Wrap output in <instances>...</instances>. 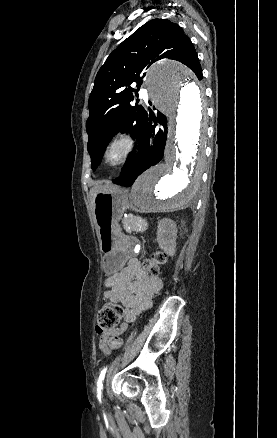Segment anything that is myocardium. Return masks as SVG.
Listing matches in <instances>:
<instances>
[{
    "label": "myocardium",
    "instance_id": "1",
    "mask_svg": "<svg viewBox=\"0 0 277 438\" xmlns=\"http://www.w3.org/2000/svg\"><path fill=\"white\" fill-rule=\"evenodd\" d=\"M117 147L121 148V153L118 157L112 159L111 155ZM135 149L136 139L130 133L119 134L105 148L103 152L104 162L112 168L122 166L131 158Z\"/></svg>",
    "mask_w": 277,
    "mask_h": 438
}]
</instances>
